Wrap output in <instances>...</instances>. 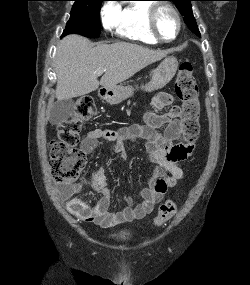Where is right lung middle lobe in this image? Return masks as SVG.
Instances as JSON below:
<instances>
[{"label":"right lung middle lobe","instance_id":"1","mask_svg":"<svg viewBox=\"0 0 250 285\" xmlns=\"http://www.w3.org/2000/svg\"><path fill=\"white\" fill-rule=\"evenodd\" d=\"M75 1L63 35L78 33L89 38L100 35V6L104 0Z\"/></svg>","mask_w":250,"mask_h":285}]
</instances>
